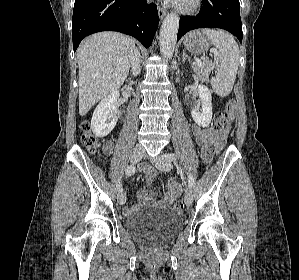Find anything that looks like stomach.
I'll use <instances>...</instances> for the list:
<instances>
[{
	"instance_id": "stomach-1",
	"label": "stomach",
	"mask_w": 299,
	"mask_h": 280,
	"mask_svg": "<svg viewBox=\"0 0 299 280\" xmlns=\"http://www.w3.org/2000/svg\"><path fill=\"white\" fill-rule=\"evenodd\" d=\"M183 43L185 48L192 53H202L211 45L209 38L201 31H193L189 33L185 37Z\"/></svg>"
}]
</instances>
